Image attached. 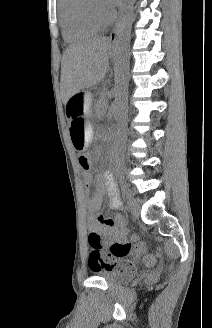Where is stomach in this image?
Instances as JSON below:
<instances>
[{"mask_svg": "<svg viewBox=\"0 0 212 328\" xmlns=\"http://www.w3.org/2000/svg\"><path fill=\"white\" fill-rule=\"evenodd\" d=\"M92 97L88 92L80 91L70 97L66 104L65 120L70 127V136L74 148L82 152L91 141V123L95 110L92 107Z\"/></svg>", "mask_w": 212, "mask_h": 328, "instance_id": "obj_1", "label": "stomach"}]
</instances>
